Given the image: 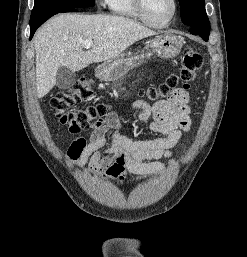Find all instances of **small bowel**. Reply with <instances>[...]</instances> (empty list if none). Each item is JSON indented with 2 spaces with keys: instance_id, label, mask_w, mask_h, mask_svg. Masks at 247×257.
Returning <instances> with one entry per match:
<instances>
[{
  "instance_id": "obj_1",
  "label": "small bowel",
  "mask_w": 247,
  "mask_h": 257,
  "mask_svg": "<svg viewBox=\"0 0 247 257\" xmlns=\"http://www.w3.org/2000/svg\"><path fill=\"white\" fill-rule=\"evenodd\" d=\"M189 95L183 89H173L166 99L149 104L136 100L134 108L138 119L163 137L152 140H133L119 133L121 121L110 111L92 126L88 138L77 137L67 150L68 158L78 167L88 165L103 178L123 181L127 175L142 179L164 171L167 159L174 165L172 149L183 132L191 127ZM112 131L111 145L106 148L108 133Z\"/></svg>"
}]
</instances>
